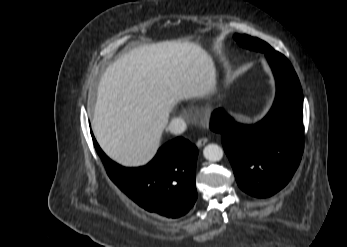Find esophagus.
Returning <instances> with one entry per match:
<instances>
[{
    "label": "esophagus",
    "mask_w": 347,
    "mask_h": 247,
    "mask_svg": "<svg viewBox=\"0 0 347 247\" xmlns=\"http://www.w3.org/2000/svg\"><path fill=\"white\" fill-rule=\"evenodd\" d=\"M208 142L207 138H200L198 139V141L196 142V146L197 147H203L206 143Z\"/></svg>",
    "instance_id": "obj_1"
}]
</instances>
